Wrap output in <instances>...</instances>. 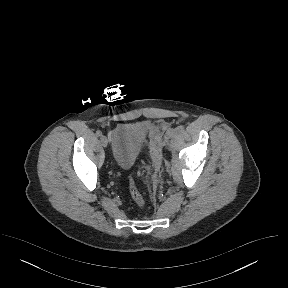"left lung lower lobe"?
<instances>
[{
    "instance_id": "0a47b994",
    "label": "left lung lower lobe",
    "mask_w": 288,
    "mask_h": 288,
    "mask_svg": "<svg viewBox=\"0 0 288 288\" xmlns=\"http://www.w3.org/2000/svg\"><path fill=\"white\" fill-rule=\"evenodd\" d=\"M246 217L250 223L247 230L253 234L260 233L266 220V203L262 197L259 198Z\"/></svg>"
}]
</instances>
